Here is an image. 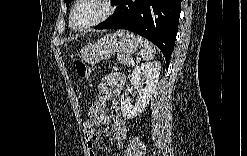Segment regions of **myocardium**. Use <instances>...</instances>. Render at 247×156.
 Wrapping results in <instances>:
<instances>
[{
	"label": "myocardium",
	"instance_id": "f54148a6",
	"mask_svg": "<svg viewBox=\"0 0 247 156\" xmlns=\"http://www.w3.org/2000/svg\"><path fill=\"white\" fill-rule=\"evenodd\" d=\"M85 1H90V0H78L73 4V6L71 8V11L69 14V23H70V26L74 30L80 31V30H85V29L91 28L93 26H96V25L100 24L101 22H103L104 20H106L114 11L113 3L111 0H91V1L99 2L104 7L103 13L97 19H95L94 21H92L90 23H87L83 26H76L73 23L74 12L80 3L85 2Z\"/></svg>",
	"mask_w": 247,
	"mask_h": 156
}]
</instances>
